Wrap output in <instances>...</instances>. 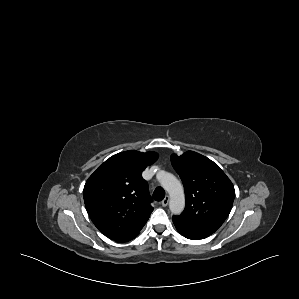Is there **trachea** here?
<instances>
[{
	"label": "trachea",
	"mask_w": 299,
	"mask_h": 299,
	"mask_svg": "<svg viewBox=\"0 0 299 299\" xmlns=\"http://www.w3.org/2000/svg\"><path fill=\"white\" fill-rule=\"evenodd\" d=\"M164 197H165V191L162 188L158 187V188H156L154 190V192H153V198L156 201H161V200L164 199Z\"/></svg>",
	"instance_id": "1"
}]
</instances>
